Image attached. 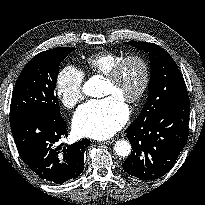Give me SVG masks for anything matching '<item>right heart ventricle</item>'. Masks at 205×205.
<instances>
[{"instance_id": "e07e8e85", "label": "right heart ventricle", "mask_w": 205, "mask_h": 205, "mask_svg": "<svg viewBox=\"0 0 205 205\" xmlns=\"http://www.w3.org/2000/svg\"><path fill=\"white\" fill-rule=\"evenodd\" d=\"M124 55L114 52H98L89 55L84 62L89 75H106Z\"/></svg>"}]
</instances>
